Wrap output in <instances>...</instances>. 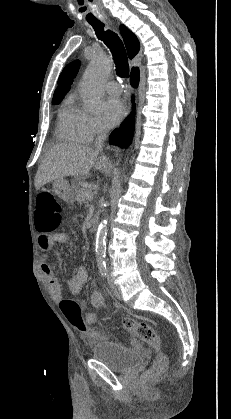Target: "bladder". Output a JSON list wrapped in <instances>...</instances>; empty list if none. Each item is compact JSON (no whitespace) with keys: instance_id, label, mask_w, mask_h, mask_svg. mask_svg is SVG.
Masks as SVG:
<instances>
[{"instance_id":"bladder-1","label":"bladder","mask_w":231,"mask_h":419,"mask_svg":"<svg viewBox=\"0 0 231 419\" xmlns=\"http://www.w3.org/2000/svg\"><path fill=\"white\" fill-rule=\"evenodd\" d=\"M91 355L94 360L103 362L111 370L121 373L132 372L146 360L143 354L108 340L95 343Z\"/></svg>"}]
</instances>
